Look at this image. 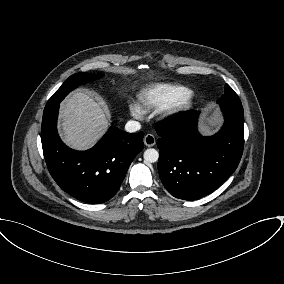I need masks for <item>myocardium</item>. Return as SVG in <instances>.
Returning <instances> with one entry per match:
<instances>
[{
  "label": "myocardium",
  "mask_w": 284,
  "mask_h": 284,
  "mask_svg": "<svg viewBox=\"0 0 284 284\" xmlns=\"http://www.w3.org/2000/svg\"><path fill=\"white\" fill-rule=\"evenodd\" d=\"M193 101H194V94L192 92H189L181 100L169 106L167 112L168 114H177V113L186 111L191 107Z\"/></svg>",
  "instance_id": "obj_1"
}]
</instances>
